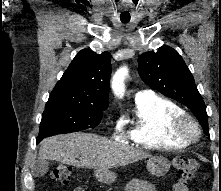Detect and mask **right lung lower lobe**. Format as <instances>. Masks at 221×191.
<instances>
[{"label":"right lung lower lobe","mask_w":221,"mask_h":191,"mask_svg":"<svg viewBox=\"0 0 221 191\" xmlns=\"http://www.w3.org/2000/svg\"><path fill=\"white\" fill-rule=\"evenodd\" d=\"M40 141H41V140H38V139H37V143H39Z\"/></svg>","instance_id":"1"}]
</instances>
